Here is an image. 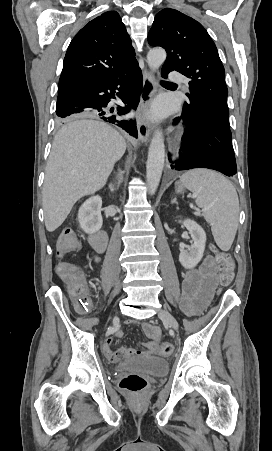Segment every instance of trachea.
Segmentation results:
<instances>
[{
	"instance_id": "1",
	"label": "trachea",
	"mask_w": 272,
	"mask_h": 451,
	"mask_svg": "<svg viewBox=\"0 0 272 451\" xmlns=\"http://www.w3.org/2000/svg\"><path fill=\"white\" fill-rule=\"evenodd\" d=\"M162 83L164 84V83H169V82H162Z\"/></svg>"
}]
</instances>
